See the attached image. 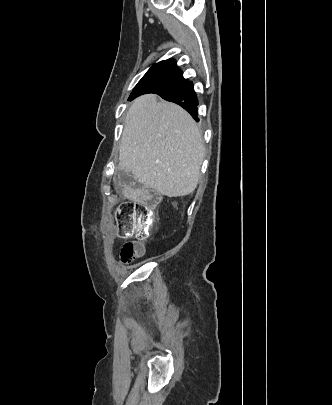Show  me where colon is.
Masks as SVG:
<instances>
[{"mask_svg": "<svg viewBox=\"0 0 332 405\" xmlns=\"http://www.w3.org/2000/svg\"><path fill=\"white\" fill-rule=\"evenodd\" d=\"M158 194L149 188L140 190L133 200L122 201L115 209V217L122 236L144 237L149 234L156 222L154 208L158 204ZM145 247L140 241L126 242L120 250V260L129 263L141 258Z\"/></svg>", "mask_w": 332, "mask_h": 405, "instance_id": "1", "label": "colon"}]
</instances>
